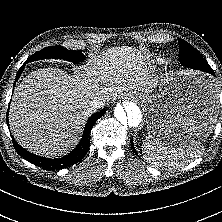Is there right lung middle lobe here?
<instances>
[{"instance_id":"1","label":"right lung middle lobe","mask_w":222,"mask_h":222,"mask_svg":"<svg viewBox=\"0 0 222 222\" xmlns=\"http://www.w3.org/2000/svg\"><path fill=\"white\" fill-rule=\"evenodd\" d=\"M48 58L64 59L77 64L82 62L85 59V56L81 51L68 50L62 46H50L42 49L39 52H36L30 56L27 61L32 62Z\"/></svg>"}]
</instances>
